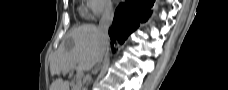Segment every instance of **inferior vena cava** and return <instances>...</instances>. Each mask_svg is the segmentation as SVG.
Masks as SVG:
<instances>
[{"mask_svg":"<svg viewBox=\"0 0 228 90\" xmlns=\"http://www.w3.org/2000/svg\"><path fill=\"white\" fill-rule=\"evenodd\" d=\"M112 21H113V10L111 6H107L105 8V11L102 15V18L99 22V27H98L99 36L101 39V53L97 60L98 63L102 62L104 53L106 51V45L109 41L108 30L110 25L112 24Z\"/></svg>","mask_w":228,"mask_h":90,"instance_id":"602c4592","label":"inferior vena cava"}]
</instances>
